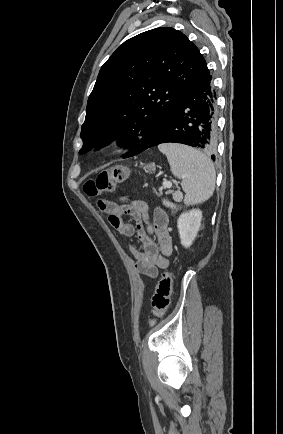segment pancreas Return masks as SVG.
<instances>
[{
	"instance_id": "cf45deb5",
	"label": "pancreas",
	"mask_w": 283,
	"mask_h": 434,
	"mask_svg": "<svg viewBox=\"0 0 283 434\" xmlns=\"http://www.w3.org/2000/svg\"><path fill=\"white\" fill-rule=\"evenodd\" d=\"M171 192H173V191L169 190L167 193H171ZM174 195H175V197H177L178 199H180V198L182 197V194H181L180 191H176V192L174 193Z\"/></svg>"
}]
</instances>
